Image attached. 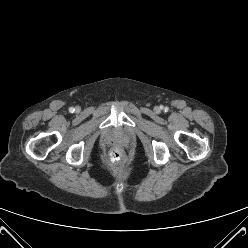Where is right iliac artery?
<instances>
[{
  "label": "right iliac artery",
  "instance_id": "obj_1",
  "mask_svg": "<svg viewBox=\"0 0 248 248\" xmlns=\"http://www.w3.org/2000/svg\"><path fill=\"white\" fill-rule=\"evenodd\" d=\"M69 111H70L71 113H73V112L75 111V109H74L73 107H71V108L69 109Z\"/></svg>",
  "mask_w": 248,
  "mask_h": 248
}]
</instances>
